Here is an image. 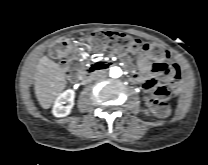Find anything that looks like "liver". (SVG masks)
<instances>
[{
	"mask_svg": "<svg viewBox=\"0 0 208 165\" xmlns=\"http://www.w3.org/2000/svg\"><path fill=\"white\" fill-rule=\"evenodd\" d=\"M67 85L65 75L58 63L46 55L41 57L34 73L36 98L43 109L51 107Z\"/></svg>",
	"mask_w": 208,
	"mask_h": 165,
	"instance_id": "liver-1",
	"label": "liver"
}]
</instances>
